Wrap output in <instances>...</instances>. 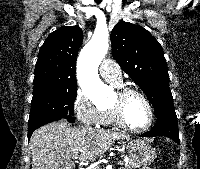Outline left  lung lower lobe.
I'll list each match as a JSON object with an SVG mask.
<instances>
[{
    "mask_svg": "<svg viewBox=\"0 0 200 169\" xmlns=\"http://www.w3.org/2000/svg\"><path fill=\"white\" fill-rule=\"evenodd\" d=\"M143 137H156L166 136L174 140L176 143H180L177 125V116H161L158 118L153 128L141 134Z\"/></svg>",
    "mask_w": 200,
    "mask_h": 169,
    "instance_id": "obj_1",
    "label": "left lung lower lobe"
}]
</instances>
